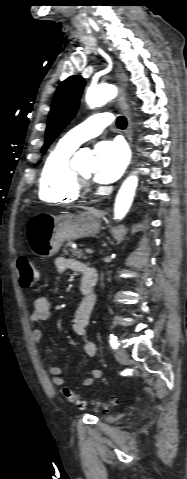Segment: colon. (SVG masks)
<instances>
[{"instance_id":"colon-1","label":"colon","mask_w":187,"mask_h":479,"mask_svg":"<svg viewBox=\"0 0 187 479\" xmlns=\"http://www.w3.org/2000/svg\"><path fill=\"white\" fill-rule=\"evenodd\" d=\"M16 266L19 274V283L22 288H30L38 279V271L31 262V260L26 256H20L17 258ZM62 395L70 403L78 406L84 407V403L80 401L78 396L69 388L64 387L62 389Z\"/></svg>"}]
</instances>
